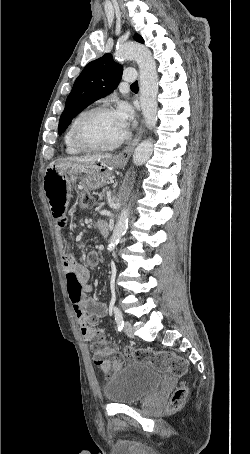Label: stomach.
I'll use <instances>...</instances> for the list:
<instances>
[{
    "instance_id": "obj_1",
    "label": "stomach",
    "mask_w": 250,
    "mask_h": 454,
    "mask_svg": "<svg viewBox=\"0 0 250 454\" xmlns=\"http://www.w3.org/2000/svg\"><path fill=\"white\" fill-rule=\"evenodd\" d=\"M126 162V159H120L118 156L78 166L65 162H52L47 167L44 176H76V178L79 176L85 188L97 189L107 182L113 169L123 168Z\"/></svg>"
}]
</instances>
